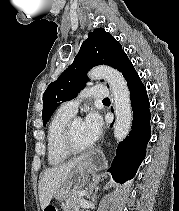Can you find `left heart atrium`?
<instances>
[{"mask_svg":"<svg viewBox=\"0 0 179 211\" xmlns=\"http://www.w3.org/2000/svg\"><path fill=\"white\" fill-rule=\"evenodd\" d=\"M83 125L86 136L92 143L100 138L103 130V121L97 112H89L83 122Z\"/></svg>","mask_w":179,"mask_h":211,"instance_id":"39dd6f15","label":"left heart atrium"}]
</instances>
